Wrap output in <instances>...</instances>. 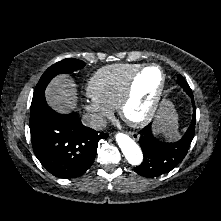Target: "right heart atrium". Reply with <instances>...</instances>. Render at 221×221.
<instances>
[{
	"label": "right heart atrium",
	"instance_id": "d8ad5b80",
	"mask_svg": "<svg viewBox=\"0 0 221 221\" xmlns=\"http://www.w3.org/2000/svg\"><path fill=\"white\" fill-rule=\"evenodd\" d=\"M83 108L91 116L93 123L97 127L102 126L105 119L112 113L111 108L93 99L87 100Z\"/></svg>",
	"mask_w": 221,
	"mask_h": 221
}]
</instances>
